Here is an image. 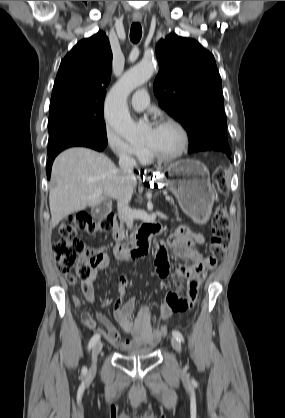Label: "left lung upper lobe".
<instances>
[{"mask_svg": "<svg viewBox=\"0 0 285 418\" xmlns=\"http://www.w3.org/2000/svg\"><path fill=\"white\" fill-rule=\"evenodd\" d=\"M159 73L154 93L161 108L189 135V153L231 152L221 77L214 56L194 39L171 33L156 45Z\"/></svg>", "mask_w": 285, "mask_h": 418, "instance_id": "5c2ea615", "label": "left lung upper lobe"}]
</instances>
